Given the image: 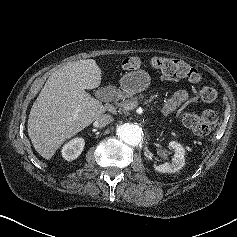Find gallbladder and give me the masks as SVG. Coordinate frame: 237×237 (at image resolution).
I'll return each mask as SVG.
<instances>
[{
	"instance_id": "gallbladder-1",
	"label": "gallbladder",
	"mask_w": 237,
	"mask_h": 237,
	"mask_svg": "<svg viewBox=\"0 0 237 237\" xmlns=\"http://www.w3.org/2000/svg\"><path fill=\"white\" fill-rule=\"evenodd\" d=\"M109 90V87H105V88H103V89H100V91H99V98L101 99V100H108L109 99V97H107L106 95H105V93L107 92ZM112 97V96H111ZM110 97V98H111Z\"/></svg>"
}]
</instances>
